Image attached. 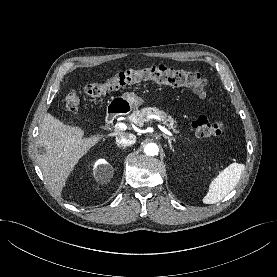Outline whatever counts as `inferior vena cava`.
I'll return each instance as SVG.
<instances>
[{
    "mask_svg": "<svg viewBox=\"0 0 277 277\" xmlns=\"http://www.w3.org/2000/svg\"><path fill=\"white\" fill-rule=\"evenodd\" d=\"M116 142L123 146H130L136 142V136L133 134H126L116 137Z\"/></svg>",
    "mask_w": 277,
    "mask_h": 277,
    "instance_id": "obj_1",
    "label": "inferior vena cava"
}]
</instances>
